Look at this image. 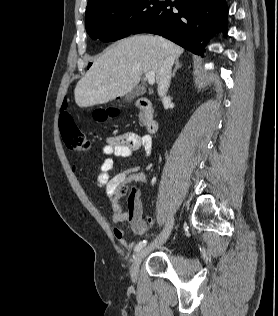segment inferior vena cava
Returning a JSON list of instances; mask_svg holds the SVG:
<instances>
[{"label":"inferior vena cava","mask_w":278,"mask_h":316,"mask_svg":"<svg viewBox=\"0 0 278 316\" xmlns=\"http://www.w3.org/2000/svg\"><path fill=\"white\" fill-rule=\"evenodd\" d=\"M173 58L167 57L163 62L161 72H160V80L158 83V95L163 99H166V93L170 86L171 81V70L173 65Z\"/></svg>","instance_id":"1"}]
</instances>
